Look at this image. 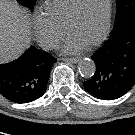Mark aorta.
I'll return each mask as SVG.
<instances>
[{
	"instance_id": "1",
	"label": "aorta",
	"mask_w": 135,
	"mask_h": 135,
	"mask_svg": "<svg viewBox=\"0 0 135 135\" xmlns=\"http://www.w3.org/2000/svg\"><path fill=\"white\" fill-rule=\"evenodd\" d=\"M78 69L81 76L90 78L95 73L96 65L93 60L84 58L78 63Z\"/></svg>"
}]
</instances>
